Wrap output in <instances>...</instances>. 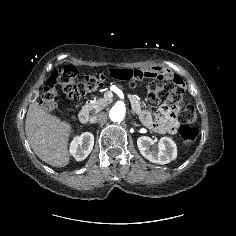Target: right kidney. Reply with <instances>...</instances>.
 <instances>
[{"mask_svg":"<svg viewBox=\"0 0 236 236\" xmlns=\"http://www.w3.org/2000/svg\"><path fill=\"white\" fill-rule=\"evenodd\" d=\"M94 136L90 132H84L80 136L74 137L70 143V154L77 161H82L87 158L93 149Z\"/></svg>","mask_w":236,"mask_h":236,"instance_id":"right-kidney-1","label":"right kidney"}]
</instances>
